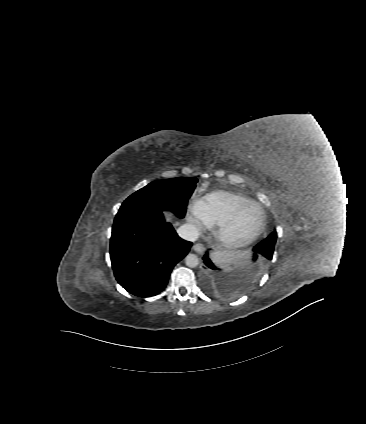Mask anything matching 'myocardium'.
<instances>
[{"label": "myocardium", "mask_w": 366, "mask_h": 424, "mask_svg": "<svg viewBox=\"0 0 366 424\" xmlns=\"http://www.w3.org/2000/svg\"><path fill=\"white\" fill-rule=\"evenodd\" d=\"M256 208L259 212V222L256 229L248 236L237 237L233 234L234 228L242 214L250 209ZM266 225V218L262 208L256 203H247L242 205L223 223L215 229L214 235L217 243L225 249H240L255 242L262 234Z\"/></svg>", "instance_id": "1"}]
</instances>
